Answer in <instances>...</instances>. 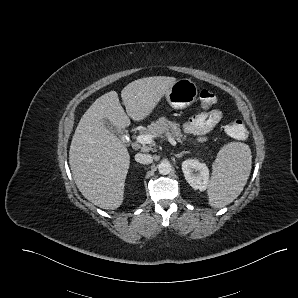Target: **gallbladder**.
I'll return each instance as SVG.
<instances>
[{"label":"gallbladder","mask_w":298,"mask_h":298,"mask_svg":"<svg viewBox=\"0 0 298 298\" xmlns=\"http://www.w3.org/2000/svg\"><path fill=\"white\" fill-rule=\"evenodd\" d=\"M103 123H104V125H105L108 129H110L111 131L114 130V127H113L112 123H111L108 119L105 118V119L103 120Z\"/></svg>","instance_id":"gallbladder-1"}]
</instances>
